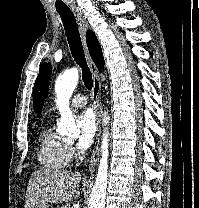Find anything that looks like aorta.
I'll return each instance as SVG.
<instances>
[{"instance_id": "1", "label": "aorta", "mask_w": 199, "mask_h": 208, "mask_svg": "<svg viewBox=\"0 0 199 208\" xmlns=\"http://www.w3.org/2000/svg\"><path fill=\"white\" fill-rule=\"evenodd\" d=\"M79 79V71L76 68L65 71L60 75L55 83L56 104L60 111V121L57 123V132L60 135L75 136L79 134V129L75 124L73 114L69 108V101ZM105 112L103 124L106 126L109 122V117ZM108 128L104 129L101 145V160L98 166V172L95 178V183L92 189L91 198L88 208H104L105 198L107 193L108 182Z\"/></svg>"}]
</instances>
